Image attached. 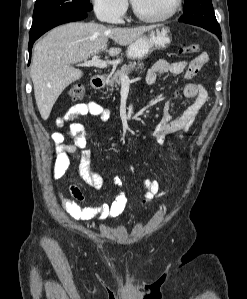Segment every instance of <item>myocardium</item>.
I'll return each mask as SVG.
<instances>
[{
    "mask_svg": "<svg viewBox=\"0 0 247 299\" xmlns=\"http://www.w3.org/2000/svg\"><path fill=\"white\" fill-rule=\"evenodd\" d=\"M181 3H182V0H174L169 11H167L166 13H164L162 15H157V16H148V15L143 14L142 12H140L138 10V8L136 7L133 0H131V7H132V11H133L134 15L138 19L145 21V22H149V23H157V22L166 21V20L170 19L171 17H173L179 10Z\"/></svg>",
    "mask_w": 247,
    "mask_h": 299,
    "instance_id": "1",
    "label": "myocardium"
}]
</instances>
